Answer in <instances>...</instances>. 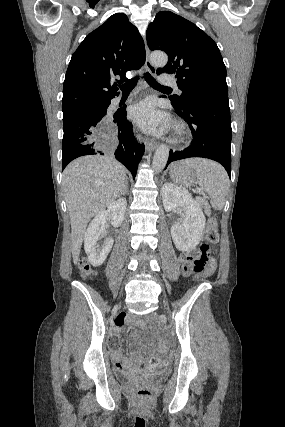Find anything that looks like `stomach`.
Wrapping results in <instances>:
<instances>
[{
  "label": "stomach",
  "instance_id": "1",
  "mask_svg": "<svg viewBox=\"0 0 285 427\" xmlns=\"http://www.w3.org/2000/svg\"><path fill=\"white\" fill-rule=\"evenodd\" d=\"M170 175L180 186L191 187L198 181L194 170L185 164H173L170 167Z\"/></svg>",
  "mask_w": 285,
  "mask_h": 427
}]
</instances>
